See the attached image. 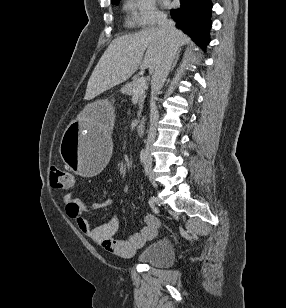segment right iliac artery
I'll return each mask as SVG.
<instances>
[{"instance_id": "1", "label": "right iliac artery", "mask_w": 286, "mask_h": 308, "mask_svg": "<svg viewBox=\"0 0 286 308\" xmlns=\"http://www.w3.org/2000/svg\"><path fill=\"white\" fill-rule=\"evenodd\" d=\"M147 151L142 149L140 152V161L142 165L146 164L147 161ZM148 205H150V210H153V212L157 213L158 212V207H156L155 203H153V200H148Z\"/></svg>"}]
</instances>
